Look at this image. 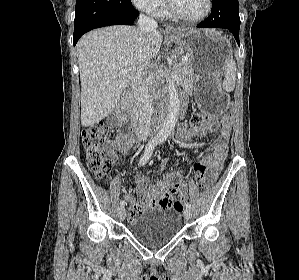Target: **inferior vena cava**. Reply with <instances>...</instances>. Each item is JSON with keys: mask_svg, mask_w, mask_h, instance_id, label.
<instances>
[{"mask_svg": "<svg viewBox=\"0 0 299 280\" xmlns=\"http://www.w3.org/2000/svg\"><path fill=\"white\" fill-rule=\"evenodd\" d=\"M140 33L146 38L152 31L156 30L157 22L140 14L138 19ZM148 62L144 67L137 70L131 80V89L138 109L140 139L145 141L150 133V122L153 114L152 100L148 95L147 84L151 79V72L147 71Z\"/></svg>", "mask_w": 299, "mask_h": 280, "instance_id": "inferior-vena-cava-1", "label": "inferior vena cava"}]
</instances>
